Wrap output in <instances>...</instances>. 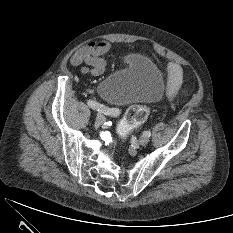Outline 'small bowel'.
I'll return each instance as SVG.
<instances>
[{"label":"small bowel","mask_w":233,"mask_h":233,"mask_svg":"<svg viewBox=\"0 0 233 233\" xmlns=\"http://www.w3.org/2000/svg\"><path fill=\"white\" fill-rule=\"evenodd\" d=\"M110 49V43L105 40L90 42L79 48L71 57L73 66H82L83 74L100 76L106 69V61L103 55ZM167 87L166 94L169 98H174L183 81V71L179 64L169 62L167 65Z\"/></svg>","instance_id":"small-bowel-1"}]
</instances>
